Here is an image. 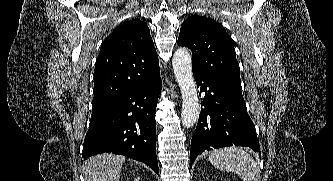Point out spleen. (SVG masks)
<instances>
[{"mask_svg": "<svg viewBox=\"0 0 333 181\" xmlns=\"http://www.w3.org/2000/svg\"><path fill=\"white\" fill-rule=\"evenodd\" d=\"M209 161L219 170L235 172L242 181H255L257 164L243 149L233 146L213 150L209 155Z\"/></svg>", "mask_w": 333, "mask_h": 181, "instance_id": "obj_1", "label": "spleen"}]
</instances>
